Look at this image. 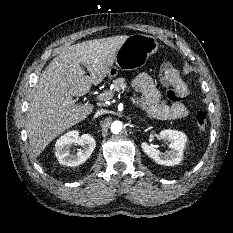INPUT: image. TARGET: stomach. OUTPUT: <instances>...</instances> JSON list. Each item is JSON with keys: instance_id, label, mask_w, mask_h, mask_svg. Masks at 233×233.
Wrapping results in <instances>:
<instances>
[{"instance_id": "stomach-1", "label": "stomach", "mask_w": 233, "mask_h": 233, "mask_svg": "<svg viewBox=\"0 0 233 233\" xmlns=\"http://www.w3.org/2000/svg\"><path fill=\"white\" fill-rule=\"evenodd\" d=\"M157 49L158 42L153 36L145 34L128 36L116 53V71L131 70L142 66Z\"/></svg>"}]
</instances>
